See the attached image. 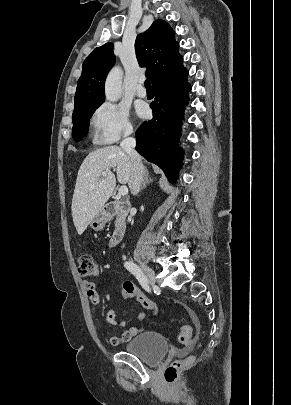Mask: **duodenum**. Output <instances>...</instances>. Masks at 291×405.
<instances>
[{"instance_id": "410a0bca", "label": "duodenum", "mask_w": 291, "mask_h": 405, "mask_svg": "<svg viewBox=\"0 0 291 405\" xmlns=\"http://www.w3.org/2000/svg\"><path fill=\"white\" fill-rule=\"evenodd\" d=\"M130 211V202L128 200H118L108 203L104 207L106 217H116V225L109 239V245L114 247L118 245L125 235V218Z\"/></svg>"}]
</instances>
